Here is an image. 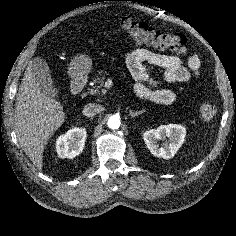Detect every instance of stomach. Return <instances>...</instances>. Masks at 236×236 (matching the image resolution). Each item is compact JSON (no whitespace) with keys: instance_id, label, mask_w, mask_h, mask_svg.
Returning a JSON list of instances; mask_svg holds the SVG:
<instances>
[{"instance_id":"obj_1","label":"stomach","mask_w":236,"mask_h":236,"mask_svg":"<svg viewBox=\"0 0 236 236\" xmlns=\"http://www.w3.org/2000/svg\"><path fill=\"white\" fill-rule=\"evenodd\" d=\"M92 61L85 55L75 57L69 65V75L74 79H82L91 71Z\"/></svg>"}]
</instances>
